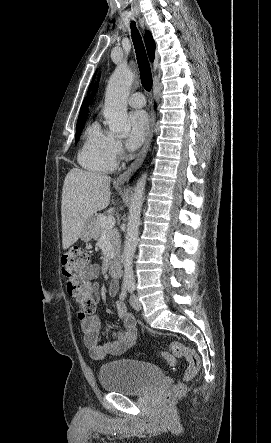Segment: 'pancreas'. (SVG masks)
Wrapping results in <instances>:
<instances>
[{
	"instance_id": "cf45deb5",
	"label": "pancreas",
	"mask_w": 271,
	"mask_h": 443,
	"mask_svg": "<svg viewBox=\"0 0 271 443\" xmlns=\"http://www.w3.org/2000/svg\"><path fill=\"white\" fill-rule=\"evenodd\" d=\"M101 218H104V214H98V216H96V218H95L94 233H93L94 239H99V237H101L102 233H106V235H108V237L112 243V247H114L115 251H118V247H119V245H118V237H119L118 229H112V227H109V229H106V227H102Z\"/></svg>"
}]
</instances>
